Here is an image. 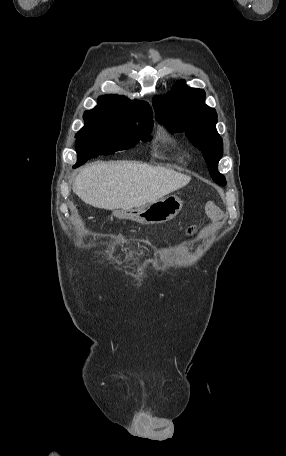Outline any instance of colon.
I'll list each match as a JSON object with an SVG mask.
<instances>
[{"label":"colon","instance_id":"obj_1","mask_svg":"<svg viewBox=\"0 0 286 456\" xmlns=\"http://www.w3.org/2000/svg\"><path fill=\"white\" fill-rule=\"evenodd\" d=\"M214 207H215V206H214V204H213L212 202H209V203L207 204V209H208V210H213Z\"/></svg>","mask_w":286,"mask_h":456}]
</instances>
